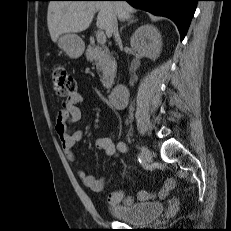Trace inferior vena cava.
Here are the masks:
<instances>
[{"instance_id":"1","label":"inferior vena cava","mask_w":231,"mask_h":231,"mask_svg":"<svg viewBox=\"0 0 231 231\" xmlns=\"http://www.w3.org/2000/svg\"><path fill=\"white\" fill-rule=\"evenodd\" d=\"M111 31H112V34H113L115 40L119 41L120 37H119V33H118V24H117L116 16H113V18H112Z\"/></svg>"}]
</instances>
